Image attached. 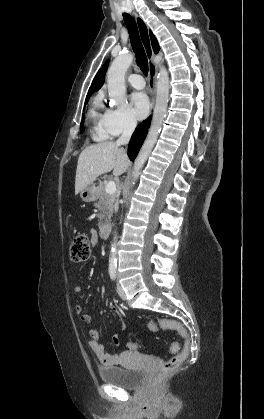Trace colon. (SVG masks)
<instances>
[{
	"mask_svg": "<svg viewBox=\"0 0 264 419\" xmlns=\"http://www.w3.org/2000/svg\"><path fill=\"white\" fill-rule=\"evenodd\" d=\"M70 255L73 261L83 262L89 258L90 255V240L84 234L77 235L70 249ZM151 331L157 332L159 330H174L181 337L184 338L185 343L182 350L178 343H173L170 346V352L173 353V357L164 363L161 369V375L166 376L171 374L177 369V367L185 360L190 349V339L186 329L177 321L169 319L151 320L148 324ZM133 347L138 349V345L133 344Z\"/></svg>",
	"mask_w": 264,
	"mask_h": 419,
	"instance_id": "obj_1",
	"label": "colon"
}]
</instances>
